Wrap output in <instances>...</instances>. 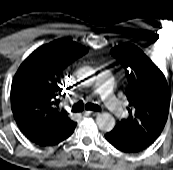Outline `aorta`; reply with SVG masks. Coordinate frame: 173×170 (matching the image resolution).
Instances as JSON below:
<instances>
[{
  "instance_id": "762f6f07",
  "label": "aorta",
  "mask_w": 173,
  "mask_h": 170,
  "mask_svg": "<svg viewBox=\"0 0 173 170\" xmlns=\"http://www.w3.org/2000/svg\"><path fill=\"white\" fill-rule=\"evenodd\" d=\"M84 75H89V72L85 71ZM88 82H90V81H88ZM96 123L100 130L109 132L115 126V119L109 113H102L97 116Z\"/></svg>"
}]
</instances>
